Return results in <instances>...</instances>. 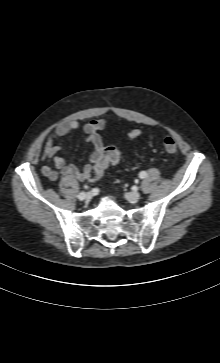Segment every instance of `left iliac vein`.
<instances>
[{"mask_svg": "<svg viewBox=\"0 0 220 363\" xmlns=\"http://www.w3.org/2000/svg\"><path fill=\"white\" fill-rule=\"evenodd\" d=\"M126 199L131 203H136L140 199V193L138 191H133L126 194Z\"/></svg>", "mask_w": 220, "mask_h": 363, "instance_id": "obj_1", "label": "left iliac vein"}]
</instances>
